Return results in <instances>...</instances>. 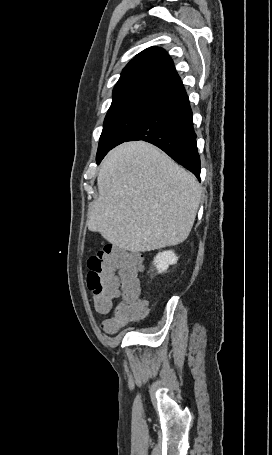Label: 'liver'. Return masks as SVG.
Here are the masks:
<instances>
[{"mask_svg": "<svg viewBox=\"0 0 272 455\" xmlns=\"http://www.w3.org/2000/svg\"><path fill=\"white\" fill-rule=\"evenodd\" d=\"M97 186L99 196L88 216L89 230L131 252L186 240L201 199L196 178L143 141L112 149L101 163Z\"/></svg>", "mask_w": 272, "mask_h": 455, "instance_id": "liver-1", "label": "liver"}]
</instances>
